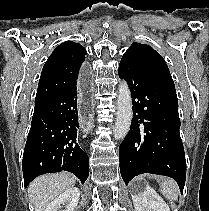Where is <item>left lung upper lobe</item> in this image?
<instances>
[{
    "label": "left lung upper lobe",
    "instance_id": "5c2ea615",
    "mask_svg": "<svg viewBox=\"0 0 209 211\" xmlns=\"http://www.w3.org/2000/svg\"><path fill=\"white\" fill-rule=\"evenodd\" d=\"M123 57L132 59L151 76L174 86L166 62L152 47L145 44L133 43L124 53Z\"/></svg>",
    "mask_w": 209,
    "mask_h": 211
}]
</instances>
